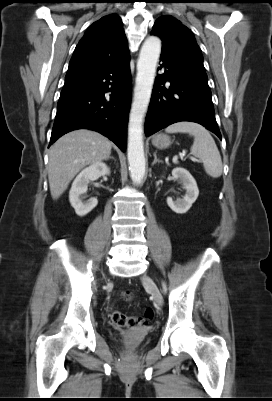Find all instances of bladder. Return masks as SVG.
Returning <instances> with one entry per match:
<instances>
[{"label":"bladder","mask_w":272,"mask_h":401,"mask_svg":"<svg viewBox=\"0 0 272 401\" xmlns=\"http://www.w3.org/2000/svg\"><path fill=\"white\" fill-rule=\"evenodd\" d=\"M149 331H150L149 328L143 327V328H140V329H138V330H136V331H133L132 333L138 334V335H144V334H147ZM142 348H143V345H142V344H138V345H135V346L131 347V348H130V351L133 352V353H137V352H139Z\"/></svg>","instance_id":"obj_1"}]
</instances>
